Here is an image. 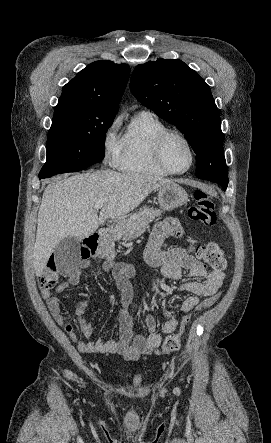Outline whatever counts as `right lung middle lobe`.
Returning <instances> with one entry per match:
<instances>
[{
	"label": "right lung middle lobe",
	"mask_w": 271,
	"mask_h": 443,
	"mask_svg": "<svg viewBox=\"0 0 271 443\" xmlns=\"http://www.w3.org/2000/svg\"><path fill=\"white\" fill-rule=\"evenodd\" d=\"M113 119L114 116L89 117L71 106L55 107L47 160L40 174L101 162L105 154V134Z\"/></svg>",
	"instance_id": "dd1d6c3e"
}]
</instances>
